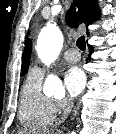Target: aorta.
I'll return each mask as SVG.
<instances>
[{
	"mask_svg": "<svg viewBox=\"0 0 116 134\" xmlns=\"http://www.w3.org/2000/svg\"><path fill=\"white\" fill-rule=\"evenodd\" d=\"M63 45V35L60 29L53 23H48L42 29L37 40V53L44 63H50L57 58ZM44 89L54 95L64 93L61 79L50 74L46 78Z\"/></svg>",
	"mask_w": 116,
	"mask_h": 134,
	"instance_id": "762f6f07",
	"label": "aorta"
}]
</instances>
